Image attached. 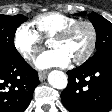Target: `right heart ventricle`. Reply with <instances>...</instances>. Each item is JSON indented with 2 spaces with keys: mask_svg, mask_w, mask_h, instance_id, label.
<instances>
[{
  "mask_svg": "<svg viewBox=\"0 0 112 112\" xmlns=\"http://www.w3.org/2000/svg\"><path fill=\"white\" fill-rule=\"evenodd\" d=\"M76 19L59 12H48L38 15L31 22L40 37L52 38L57 32Z\"/></svg>",
  "mask_w": 112,
  "mask_h": 112,
  "instance_id": "right-heart-ventricle-1",
  "label": "right heart ventricle"
}]
</instances>
